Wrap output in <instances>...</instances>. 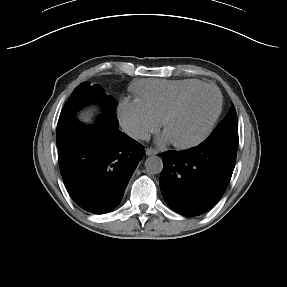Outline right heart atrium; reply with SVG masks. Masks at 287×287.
Masks as SVG:
<instances>
[{"label": "right heart atrium", "instance_id": "right-heart-atrium-1", "mask_svg": "<svg viewBox=\"0 0 287 287\" xmlns=\"http://www.w3.org/2000/svg\"><path fill=\"white\" fill-rule=\"evenodd\" d=\"M118 114L124 129L136 139L148 138L161 125V121L139 99H123L119 104Z\"/></svg>", "mask_w": 287, "mask_h": 287}]
</instances>
